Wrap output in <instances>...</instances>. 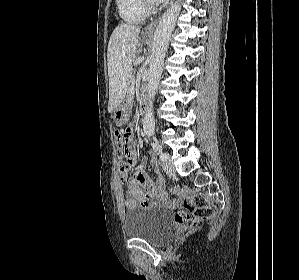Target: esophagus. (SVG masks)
Segmentation results:
<instances>
[{
  "label": "esophagus",
  "instance_id": "esophagus-1",
  "mask_svg": "<svg viewBox=\"0 0 299 280\" xmlns=\"http://www.w3.org/2000/svg\"><path fill=\"white\" fill-rule=\"evenodd\" d=\"M174 0H171L170 1V4L173 3ZM158 22H159V18H157L156 20H154L153 22H151L149 25H147L145 28H144V32L145 33H148V34H153V32L155 31L157 25H158Z\"/></svg>",
  "mask_w": 299,
  "mask_h": 280
}]
</instances>
